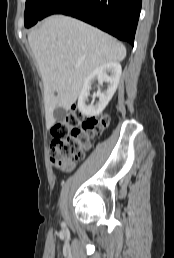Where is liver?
<instances>
[{
  "mask_svg": "<svg viewBox=\"0 0 174 258\" xmlns=\"http://www.w3.org/2000/svg\"><path fill=\"white\" fill-rule=\"evenodd\" d=\"M28 42L43 81L48 128L55 123L54 110L70 109L91 72L126 56L125 46L110 35L64 15L46 18Z\"/></svg>",
  "mask_w": 174,
  "mask_h": 258,
  "instance_id": "1",
  "label": "liver"
}]
</instances>
